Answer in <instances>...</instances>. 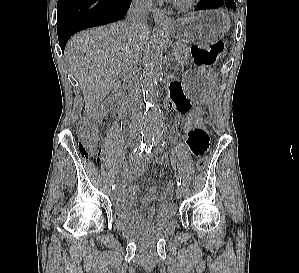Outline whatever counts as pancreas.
Returning <instances> with one entry per match:
<instances>
[{"instance_id": "pancreas-1", "label": "pancreas", "mask_w": 299, "mask_h": 273, "mask_svg": "<svg viewBox=\"0 0 299 273\" xmlns=\"http://www.w3.org/2000/svg\"><path fill=\"white\" fill-rule=\"evenodd\" d=\"M174 60L177 64L185 65L190 58V49L186 43H179L174 50Z\"/></svg>"}]
</instances>
